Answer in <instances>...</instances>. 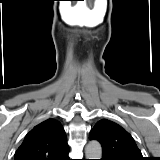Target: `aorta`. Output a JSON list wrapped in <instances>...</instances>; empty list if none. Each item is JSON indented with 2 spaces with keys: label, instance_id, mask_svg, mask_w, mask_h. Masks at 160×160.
<instances>
[{
  "label": "aorta",
  "instance_id": "1",
  "mask_svg": "<svg viewBox=\"0 0 160 160\" xmlns=\"http://www.w3.org/2000/svg\"><path fill=\"white\" fill-rule=\"evenodd\" d=\"M86 159H101L102 147L98 141H91L85 148Z\"/></svg>",
  "mask_w": 160,
  "mask_h": 160
}]
</instances>
